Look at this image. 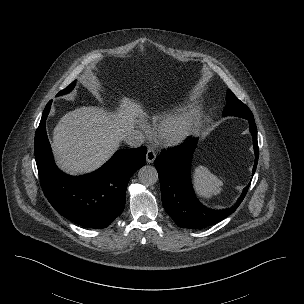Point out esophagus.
<instances>
[{
	"instance_id": "esophagus-1",
	"label": "esophagus",
	"mask_w": 304,
	"mask_h": 304,
	"mask_svg": "<svg viewBox=\"0 0 304 304\" xmlns=\"http://www.w3.org/2000/svg\"><path fill=\"white\" fill-rule=\"evenodd\" d=\"M156 158V153L153 149H148L146 154V161L147 163H153Z\"/></svg>"
}]
</instances>
